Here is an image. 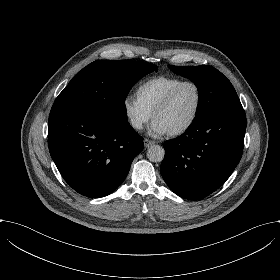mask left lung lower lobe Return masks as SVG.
Returning <instances> with one entry per match:
<instances>
[{"mask_svg": "<svg viewBox=\"0 0 280 280\" xmlns=\"http://www.w3.org/2000/svg\"><path fill=\"white\" fill-rule=\"evenodd\" d=\"M245 131L246 115L240 102L195 117L181 136L164 143V181L186 199L210 195L239 163Z\"/></svg>", "mask_w": 280, "mask_h": 280, "instance_id": "left-lung-lower-lobe-1", "label": "left lung lower lobe"}]
</instances>
